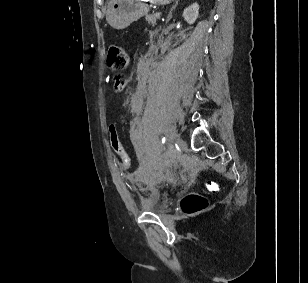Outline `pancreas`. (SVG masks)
Wrapping results in <instances>:
<instances>
[{"label":"pancreas","instance_id":"obj_1","mask_svg":"<svg viewBox=\"0 0 308 283\" xmlns=\"http://www.w3.org/2000/svg\"><path fill=\"white\" fill-rule=\"evenodd\" d=\"M145 19H146V21H147L149 24H151V25L154 26V25L157 24V20H158L159 18L157 17L156 14H152V15H146Z\"/></svg>","mask_w":308,"mask_h":283}]
</instances>
